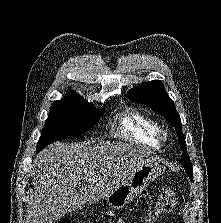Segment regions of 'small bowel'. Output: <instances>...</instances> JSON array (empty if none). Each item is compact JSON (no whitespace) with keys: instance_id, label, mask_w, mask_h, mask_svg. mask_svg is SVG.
<instances>
[{"instance_id":"small-bowel-1","label":"small bowel","mask_w":221,"mask_h":223,"mask_svg":"<svg viewBox=\"0 0 221 223\" xmlns=\"http://www.w3.org/2000/svg\"><path fill=\"white\" fill-rule=\"evenodd\" d=\"M118 223H127V222L124 220H120Z\"/></svg>"}]
</instances>
